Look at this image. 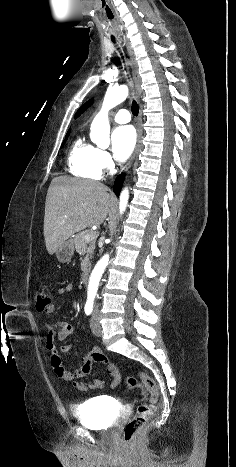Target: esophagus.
I'll return each mask as SVG.
<instances>
[{
  "label": "esophagus",
  "instance_id": "1",
  "mask_svg": "<svg viewBox=\"0 0 236 467\" xmlns=\"http://www.w3.org/2000/svg\"><path fill=\"white\" fill-rule=\"evenodd\" d=\"M123 42H124V45L127 48V51H128L129 57H130V66H131V69H132V75H133V80H134V84H135L136 97H137V100L140 102V98L142 96V88H141V77L139 75L138 64H137L136 58L134 56V53H133L131 47L129 46V44L127 43V41L124 39ZM140 122H141V112L139 114L138 123H137V144H136L135 150H134V152L132 154V157L130 158L129 162L123 168L122 171H126L131 166V164L133 163V161H134V159H135V157H136V155H137V153L139 151L140 143H141Z\"/></svg>",
  "mask_w": 236,
  "mask_h": 467
}]
</instances>
